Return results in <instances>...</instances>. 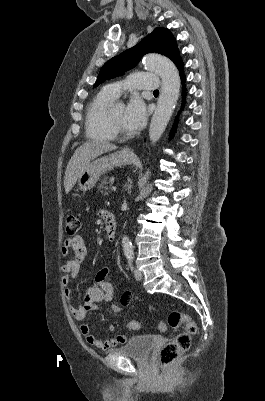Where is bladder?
I'll return each instance as SVG.
<instances>
[{"mask_svg": "<svg viewBox=\"0 0 265 401\" xmlns=\"http://www.w3.org/2000/svg\"><path fill=\"white\" fill-rule=\"evenodd\" d=\"M154 344L152 336H134L125 346L108 350V352H119L124 357L147 358Z\"/></svg>", "mask_w": 265, "mask_h": 401, "instance_id": "1", "label": "bladder"}]
</instances>
